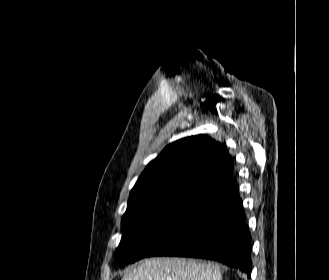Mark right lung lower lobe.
<instances>
[{"instance_id": "98d812e1", "label": "right lung lower lobe", "mask_w": 329, "mask_h": 280, "mask_svg": "<svg viewBox=\"0 0 329 280\" xmlns=\"http://www.w3.org/2000/svg\"><path fill=\"white\" fill-rule=\"evenodd\" d=\"M150 256L210 259L251 275V236L231 178L204 201Z\"/></svg>"}]
</instances>
